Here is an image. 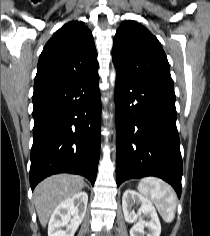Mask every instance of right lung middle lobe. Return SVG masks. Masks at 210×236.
<instances>
[{
	"label": "right lung middle lobe",
	"mask_w": 210,
	"mask_h": 236,
	"mask_svg": "<svg viewBox=\"0 0 210 236\" xmlns=\"http://www.w3.org/2000/svg\"><path fill=\"white\" fill-rule=\"evenodd\" d=\"M49 91H46V90H38V91H34V94H33V97H38V96H41L45 93H47Z\"/></svg>",
	"instance_id": "obj_1"
}]
</instances>
